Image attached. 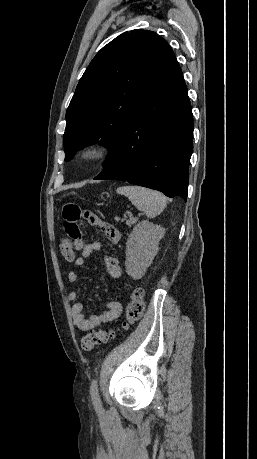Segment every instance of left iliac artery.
<instances>
[{"instance_id": "44dca946", "label": "left iliac artery", "mask_w": 257, "mask_h": 459, "mask_svg": "<svg viewBox=\"0 0 257 459\" xmlns=\"http://www.w3.org/2000/svg\"><path fill=\"white\" fill-rule=\"evenodd\" d=\"M90 393H91L92 401H93V404H94L95 408L100 410L102 405H101V400H100V396H99V389H98V381H97V379H94L92 381L91 387H90Z\"/></svg>"}]
</instances>
